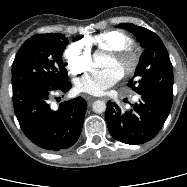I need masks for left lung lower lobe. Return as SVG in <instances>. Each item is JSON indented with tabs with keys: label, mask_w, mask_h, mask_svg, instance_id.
I'll use <instances>...</instances> for the list:
<instances>
[{
	"label": "left lung lower lobe",
	"mask_w": 187,
	"mask_h": 187,
	"mask_svg": "<svg viewBox=\"0 0 187 187\" xmlns=\"http://www.w3.org/2000/svg\"><path fill=\"white\" fill-rule=\"evenodd\" d=\"M173 97L159 94H140L132 109L122 112L116 103L107 104L105 118L110 134L116 140L138 145L150 141L163 127Z\"/></svg>",
	"instance_id": "left-lung-lower-lobe-1"
}]
</instances>
